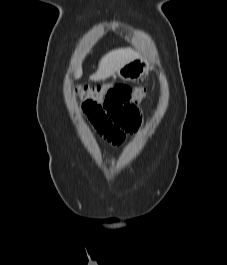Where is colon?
Segmentation results:
<instances>
[{"instance_id": "5ec220e1", "label": "colon", "mask_w": 227, "mask_h": 265, "mask_svg": "<svg viewBox=\"0 0 227 265\" xmlns=\"http://www.w3.org/2000/svg\"><path fill=\"white\" fill-rule=\"evenodd\" d=\"M75 94L82 102H102L110 120L125 132H134L141 124L138 105L146 98V90L125 83L77 85Z\"/></svg>"}]
</instances>
